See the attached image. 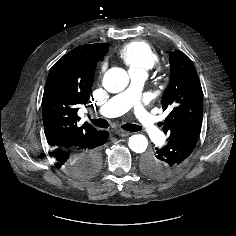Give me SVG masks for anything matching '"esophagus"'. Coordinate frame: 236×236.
Instances as JSON below:
<instances>
[{"label":"esophagus","mask_w":236,"mask_h":236,"mask_svg":"<svg viewBox=\"0 0 236 236\" xmlns=\"http://www.w3.org/2000/svg\"><path fill=\"white\" fill-rule=\"evenodd\" d=\"M116 134L121 137H127V136L131 135V132L124 131V130H118V131H116Z\"/></svg>","instance_id":"esophagus-1"}]
</instances>
